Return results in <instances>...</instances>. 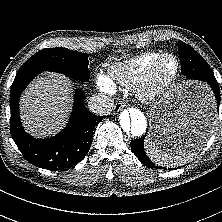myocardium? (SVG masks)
I'll return each instance as SVG.
<instances>
[{
    "label": "myocardium",
    "mask_w": 222,
    "mask_h": 222,
    "mask_svg": "<svg viewBox=\"0 0 222 222\" xmlns=\"http://www.w3.org/2000/svg\"><path fill=\"white\" fill-rule=\"evenodd\" d=\"M172 59L175 67L173 72L166 78H160L157 75V69L161 62L165 59ZM180 73V62L178 58L170 53H163L157 57L148 67L144 77L138 82L137 93L138 96L145 101L152 100L166 90H168L176 81Z\"/></svg>",
    "instance_id": "f54148a6"
}]
</instances>
